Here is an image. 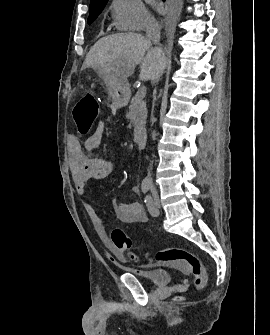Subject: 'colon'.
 I'll use <instances>...</instances> for the list:
<instances>
[{"mask_svg":"<svg viewBox=\"0 0 270 335\" xmlns=\"http://www.w3.org/2000/svg\"><path fill=\"white\" fill-rule=\"evenodd\" d=\"M99 113L97 99L87 94L72 110L74 123L80 134H87L95 124ZM111 239L120 255L132 262H138V257L132 251V241L126 233L115 228L111 233ZM154 260L158 263H170L180 269L187 270L193 277L194 287L201 290L206 285V274L200 258L186 248L160 249L154 254Z\"/></svg>","mask_w":270,"mask_h":335,"instance_id":"colon-1","label":"colon"}]
</instances>
